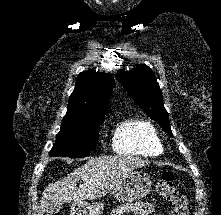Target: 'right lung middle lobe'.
I'll list each match as a JSON object with an SVG mask.
<instances>
[{
  "mask_svg": "<svg viewBox=\"0 0 221 215\" xmlns=\"http://www.w3.org/2000/svg\"><path fill=\"white\" fill-rule=\"evenodd\" d=\"M104 117L65 115L50 156L81 158L95 149Z\"/></svg>",
  "mask_w": 221,
  "mask_h": 215,
  "instance_id": "obj_1",
  "label": "right lung middle lobe"
}]
</instances>
